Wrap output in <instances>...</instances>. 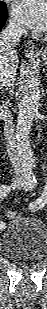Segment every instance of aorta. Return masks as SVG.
<instances>
[{
  "label": "aorta",
  "mask_w": 47,
  "mask_h": 309,
  "mask_svg": "<svg viewBox=\"0 0 47 309\" xmlns=\"http://www.w3.org/2000/svg\"><path fill=\"white\" fill-rule=\"evenodd\" d=\"M40 98V80L36 69L33 68L25 78L16 124V148L19 156L22 158H33L30 145V131L33 120L38 113Z\"/></svg>",
  "instance_id": "1"
}]
</instances>
